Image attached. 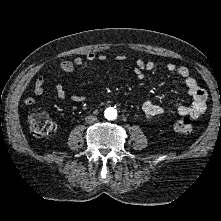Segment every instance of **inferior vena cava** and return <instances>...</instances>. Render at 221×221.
Instances as JSON below:
<instances>
[{
    "mask_svg": "<svg viewBox=\"0 0 221 221\" xmlns=\"http://www.w3.org/2000/svg\"><path fill=\"white\" fill-rule=\"evenodd\" d=\"M96 120H97V117H96V116H93V115H90V116L85 117V121H86L87 123H94Z\"/></svg>",
    "mask_w": 221,
    "mask_h": 221,
    "instance_id": "1",
    "label": "inferior vena cava"
}]
</instances>
